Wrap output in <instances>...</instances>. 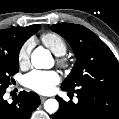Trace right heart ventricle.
Here are the masks:
<instances>
[{"instance_id": "right-heart-ventricle-1", "label": "right heart ventricle", "mask_w": 119, "mask_h": 119, "mask_svg": "<svg viewBox=\"0 0 119 119\" xmlns=\"http://www.w3.org/2000/svg\"><path fill=\"white\" fill-rule=\"evenodd\" d=\"M40 39L41 42L57 56H62L67 51L66 41L62 36L57 33H44L41 35Z\"/></svg>"}]
</instances>
